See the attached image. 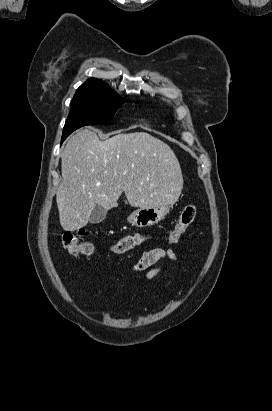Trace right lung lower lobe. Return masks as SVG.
<instances>
[{
    "instance_id": "obj_1",
    "label": "right lung lower lobe",
    "mask_w": 272,
    "mask_h": 411,
    "mask_svg": "<svg viewBox=\"0 0 272 411\" xmlns=\"http://www.w3.org/2000/svg\"><path fill=\"white\" fill-rule=\"evenodd\" d=\"M64 139H66L65 137H62V142L64 141Z\"/></svg>"
}]
</instances>
